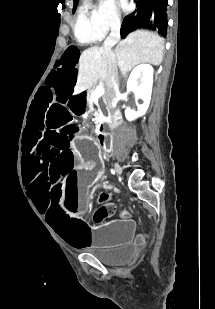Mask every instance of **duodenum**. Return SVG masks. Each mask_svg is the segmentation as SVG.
I'll return each instance as SVG.
<instances>
[{
    "instance_id": "duodenum-1",
    "label": "duodenum",
    "mask_w": 215,
    "mask_h": 309,
    "mask_svg": "<svg viewBox=\"0 0 215 309\" xmlns=\"http://www.w3.org/2000/svg\"><path fill=\"white\" fill-rule=\"evenodd\" d=\"M103 125H100V130H99V133H98V141L100 143V145L102 146L103 149H107L108 147V142H107V139H106V135H105V132L103 131L102 129Z\"/></svg>"
}]
</instances>
